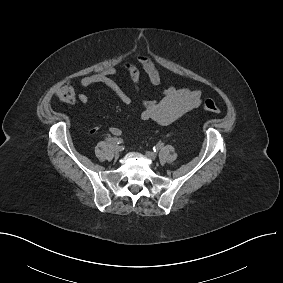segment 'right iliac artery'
I'll use <instances>...</instances> for the list:
<instances>
[{"label":"right iliac artery","mask_w":283,"mask_h":283,"mask_svg":"<svg viewBox=\"0 0 283 283\" xmlns=\"http://www.w3.org/2000/svg\"><path fill=\"white\" fill-rule=\"evenodd\" d=\"M107 141L113 144H122L123 140L121 138H107Z\"/></svg>","instance_id":"obj_1"}]
</instances>
